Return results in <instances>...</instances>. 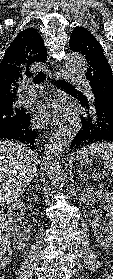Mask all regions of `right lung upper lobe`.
<instances>
[{"label": "right lung upper lobe", "mask_w": 113, "mask_h": 279, "mask_svg": "<svg viewBox=\"0 0 113 279\" xmlns=\"http://www.w3.org/2000/svg\"><path fill=\"white\" fill-rule=\"evenodd\" d=\"M46 59L47 49L37 30L27 28L17 35L0 63V108L14 103L18 82L31 76L29 66Z\"/></svg>", "instance_id": "1"}]
</instances>
